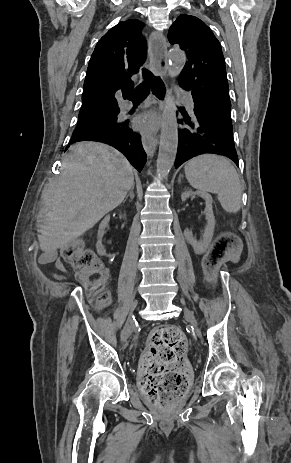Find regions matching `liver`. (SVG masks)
Returning a JSON list of instances; mask_svg holds the SVG:
<instances>
[{
    "mask_svg": "<svg viewBox=\"0 0 291 463\" xmlns=\"http://www.w3.org/2000/svg\"><path fill=\"white\" fill-rule=\"evenodd\" d=\"M134 185L133 169L116 149L97 142L73 145L46 194L40 249L56 253L119 206Z\"/></svg>",
    "mask_w": 291,
    "mask_h": 463,
    "instance_id": "1",
    "label": "liver"
}]
</instances>
